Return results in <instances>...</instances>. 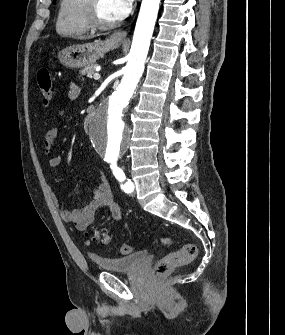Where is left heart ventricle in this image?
Returning a JSON list of instances; mask_svg holds the SVG:
<instances>
[{
	"mask_svg": "<svg viewBox=\"0 0 285 335\" xmlns=\"http://www.w3.org/2000/svg\"><path fill=\"white\" fill-rule=\"evenodd\" d=\"M98 12L100 19L105 23H113L109 1H98Z\"/></svg>",
	"mask_w": 285,
	"mask_h": 335,
	"instance_id": "obj_1",
	"label": "left heart ventricle"
}]
</instances>
